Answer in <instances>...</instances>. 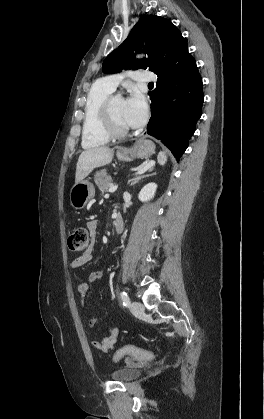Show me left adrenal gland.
<instances>
[{
  "instance_id": "a2214340",
  "label": "left adrenal gland",
  "mask_w": 264,
  "mask_h": 419,
  "mask_svg": "<svg viewBox=\"0 0 264 419\" xmlns=\"http://www.w3.org/2000/svg\"><path fill=\"white\" fill-rule=\"evenodd\" d=\"M145 165H146V163H143V164L141 165V167H139L138 169H140V168L144 167ZM153 175H156V173L146 174V175H142V174H140V175H136V176L132 179L130 186H133L134 184L138 183L140 180H142V179H144V178H146V177H149V176H153Z\"/></svg>"
}]
</instances>
